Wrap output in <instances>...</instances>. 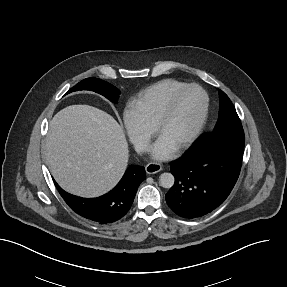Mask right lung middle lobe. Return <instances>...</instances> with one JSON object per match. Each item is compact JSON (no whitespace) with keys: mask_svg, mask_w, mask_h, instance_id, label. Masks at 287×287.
<instances>
[{"mask_svg":"<svg viewBox=\"0 0 287 287\" xmlns=\"http://www.w3.org/2000/svg\"><path fill=\"white\" fill-rule=\"evenodd\" d=\"M77 90H91L97 92L112 102H116L120 91L115 86L98 78H87L71 88L67 93Z\"/></svg>","mask_w":287,"mask_h":287,"instance_id":"obj_1","label":"right lung middle lobe"}]
</instances>
